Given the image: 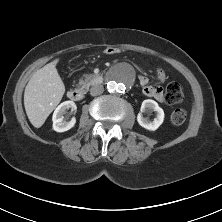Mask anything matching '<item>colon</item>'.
<instances>
[{"label": "colon", "mask_w": 222, "mask_h": 222, "mask_svg": "<svg viewBox=\"0 0 222 222\" xmlns=\"http://www.w3.org/2000/svg\"><path fill=\"white\" fill-rule=\"evenodd\" d=\"M182 99H183V91L181 86L175 81L169 82L166 85L165 89V100L168 103L173 104L182 101ZM186 117H187V112L182 108H178L172 112L170 121L173 125H180L185 122Z\"/></svg>", "instance_id": "colon-1"}]
</instances>
